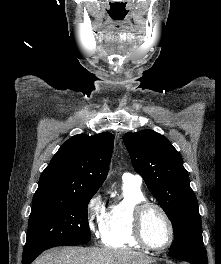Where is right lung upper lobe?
<instances>
[{
	"label": "right lung upper lobe",
	"mask_w": 221,
	"mask_h": 264,
	"mask_svg": "<svg viewBox=\"0 0 221 264\" xmlns=\"http://www.w3.org/2000/svg\"><path fill=\"white\" fill-rule=\"evenodd\" d=\"M113 145L108 132L71 137L42 172L35 193H96L106 179Z\"/></svg>",
	"instance_id": "right-lung-upper-lobe-1"
}]
</instances>
